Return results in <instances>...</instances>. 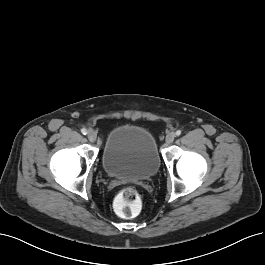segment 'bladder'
<instances>
[{
  "instance_id": "31cf9c89",
  "label": "bladder",
  "mask_w": 265,
  "mask_h": 265,
  "mask_svg": "<svg viewBox=\"0 0 265 265\" xmlns=\"http://www.w3.org/2000/svg\"><path fill=\"white\" fill-rule=\"evenodd\" d=\"M102 166L107 175L128 181L153 177L160 167V154L152 132L138 124L113 128L107 135Z\"/></svg>"
}]
</instances>
